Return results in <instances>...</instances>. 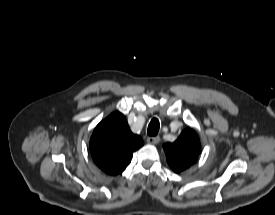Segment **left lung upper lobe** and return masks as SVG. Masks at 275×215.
<instances>
[{
	"instance_id": "left-lung-upper-lobe-1",
	"label": "left lung upper lobe",
	"mask_w": 275,
	"mask_h": 215,
	"mask_svg": "<svg viewBox=\"0 0 275 215\" xmlns=\"http://www.w3.org/2000/svg\"><path fill=\"white\" fill-rule=\"evenodd\" d=\"M169 166L179 173L194 164L200 154V141L193 129H185L173 143L164 144Z\"/></svg>"
}]
</instances>
